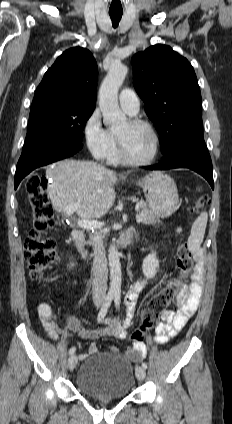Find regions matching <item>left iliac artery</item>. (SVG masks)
<instances>
[{"label": "left iliac artery", "instance_id": "44dca946", "mask_svg": "<svg viewBox=\"0 0 232 424\" xmlns=\"http://www.w3.org/2000/svg\"><path fill=\"white\" fill-rule=\"evenodd\" d=\"M120 297H121L120 296V293H115V295H114V302H115V306H116L117 309H119V307H120ZM128 312L132 313L133 316H134V310L132 308H129L128 309L127 314H128ZM142 367L144 369H147V364L145 362H143L142 363Z\"/></svg>", "mask_w": 232, "mask_h": 424}]
</instances>
